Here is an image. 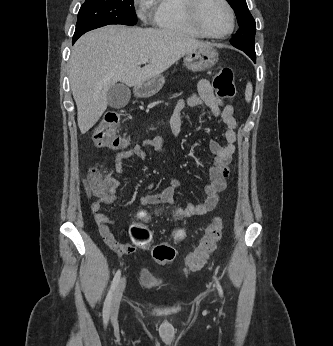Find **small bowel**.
Returning <instances> with one entry per match:
<instances>
[{
	"instance_id": "1",
	"label": "small bowel",
	"mask_w": 333,
	"mask_h": 346,
	"mask_svg": "<svg viewBox=\"0 0 333 346\" xmlns=\"http://www.w3.org/2000/svg\"><path fill=\"white\" fill-rule=\"evenodd\" d=\"M205 105L211 109L213 114L219 117L225 124L223 138L226 144L212 139L209 148L214 155L213 164L209 170V183L204 187L206 198L200 203H187L181 210L185 218L199 216L213 211L219 203L220 193L226 188V179L229 174L228 165L235 152L236 142V120L234 118V109L232 106L224 105L222 100L217 97L207 79H201L197 86V91L187 98H182L177 102L175 110L170 118L171 130L175 137L181 131V111L185 107H197ZM144 147H152L162 153L167 152V146L160 137L147 138L141 144L131 145L118 151L113 157L112 164L117 173H123V162L131 157H137L145 160L147 155ZM108 192L103 198H97L91 204V211L94 215L99 234L107 245L112 247V254H135L136 243H125L124 239H115L110 225L111 220L102 212L105 205L111 204L115 200L114 191L118 186L111 174L106 175ZM152 185H148L151 188ZM179 187V182L172 179L169 187L158 194H146L141 198L143 206L172 205L174 203V194ZM143 248V247H142ZM147 248V247H146Z\"/></svg>"
}]
</instances>
